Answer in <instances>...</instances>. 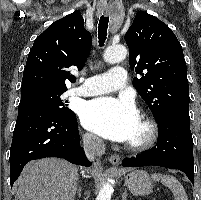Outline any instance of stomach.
I'll return each instance as SVG.
<instances>
[{"label": "stomach", "mask_w": 201, "mask_h": 200, "mask_svg": "<svg viewBox=\"0 0 201 200\" xmlns=\"http://www.w3.org/2000/svg\"><path fill=\"white\" fill-rule=\"evenodd\" d=\"M127 188L135 195H148L152 190V183L148 173L144 170H134L125 176Z\"/></svg>", "instance_id": "1"}]
</instances>
